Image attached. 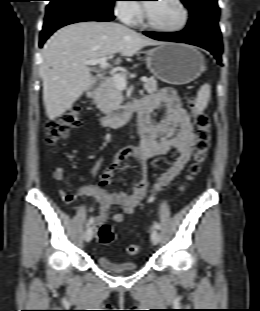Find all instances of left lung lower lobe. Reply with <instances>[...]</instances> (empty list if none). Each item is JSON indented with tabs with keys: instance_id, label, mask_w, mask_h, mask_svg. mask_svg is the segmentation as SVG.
<instances>
[{
	"instance_id": "1",
	"label": "left lung lower lobe",
	"mask_w": 260,
	"mask_h": 311,
	"mask_svg": "<svg viewBox=\"0 0 260 311\" xmlns=\"http://www.w3.org/2000/svg\"><path fill=\"white\" fill-rule=\"evenodd\" d=\"M145 35L162 41L182 42L196 45L210 51L221 63V34L206 30L185 29L180 32H144Z\"/></svg>"
}]
</instances>
